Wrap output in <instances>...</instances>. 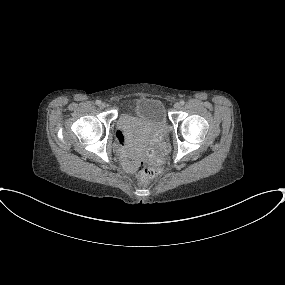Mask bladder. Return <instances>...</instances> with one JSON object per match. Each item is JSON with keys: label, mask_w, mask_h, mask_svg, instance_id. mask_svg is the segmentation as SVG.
Wrapping results in <instances>:
<instances>
[{"label": "bladder", "mask_w": 285, "mask_h": 285, "mask_svg": "<svg viewBox=\"0 0 285 285\" xmlns=\"http://www.w3.org/2000/svg\"><path fill=\"white\" fill-rule=\"evenodd\" d=\"M166 114L162 102L155 98L141 97L134 103L131 114H120L115 119L116 140L134 152L148 143L156 148L165 142V134L154 135V128H164Z\"/></svg>", "instance_id": "bladder-1"}]
</instances>
